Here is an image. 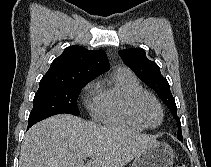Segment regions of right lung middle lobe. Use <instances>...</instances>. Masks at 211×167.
I'll return each instance as SVG.
<instances>
[{"mask_svg":"<svg viewBox=\"0 0 211 167\" xmlns=\"http://www.w3.org/2000/svg\"><path fill=\"white\" fill-rule=\"evenodd\" d=\"M90 80H79L62 85H39L33 100L28 126L31 127L33 124L56 114L79 115L77 98L81 89Z\"/></svg>","mask_w":211,"mask_h":167,"instance_id":"right-lung-middle-lobe-1","label":"right lung middle lobe"}]
</instances>
